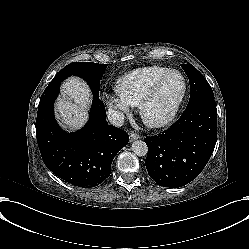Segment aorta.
I'll return each instance as SVG.
<instances>
[{
    "mask_svg": "<svg viewBox=\"0 0 249 249\" xmlns=\"http://www.w3.org/2000/svg\"><path fill=\"white\" fill-rule=\"evenodd\" d=\"M131 150L135 155H137L139 157H143V156H146L148 154V146L142 140L134 141L131 145Z\"/></svg>",
    "mask_w": 249,
    "mask_h": 249,
    "instance_id": "762f6f07",
    "label": "aorta"
}]
</instances>
